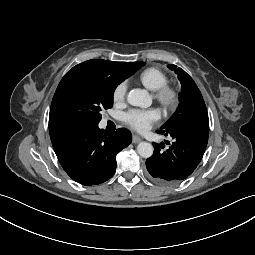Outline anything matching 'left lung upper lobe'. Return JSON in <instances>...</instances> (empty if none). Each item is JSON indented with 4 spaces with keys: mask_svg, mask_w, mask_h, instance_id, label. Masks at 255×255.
<instances>
[{
    "mask_svg": "<svg viewBox=\"0 0 255 255\" xmlns=\"http://www.w3.org/2000/svg\"><path fill=\"white\" fill-rule=\"evenodd\" d=\"M169 69L174 70L178 75V79L181 83V93L179 94L180 103L175 114L161 127V129L167 128L174 121L178 119L181 113L190 109L191 107L204 103L203 97L197 85L193 79L180 67L169 64Z\"/></svg>",
    "mask_w": 255,
    "mask_h": 255,
    "instance_id": "1",
    "label": "left lung upper lobe"
}]
</instances>
